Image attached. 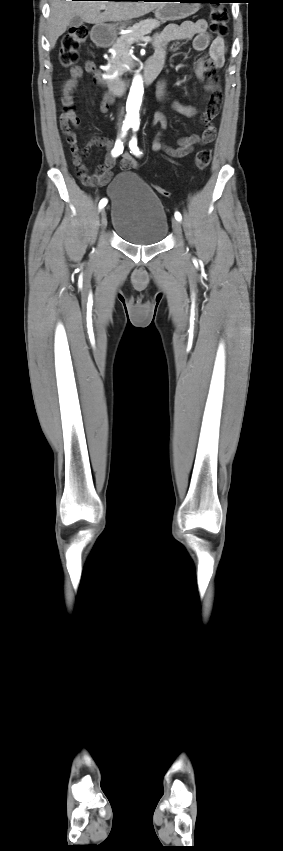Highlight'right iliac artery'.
I'll list each match as a JSON object with an SVG mask.
<instances>
[{
	"label": "right iliac artery",
	"mask_w": 283,
	"mask_h": 851,
	"mask_svg": "<svg viewBox=\"0 0 283 851\" xmlns=\"http://www.w3.org/2000/svg\"><path fill=\"white\" fill-rule=\"evenodd\" d=\"M129 127H130V125H129V124H124V125H123V127H122V131H123V132H122V137L126 134V131L129 129ZM123 150H124L123 142H121V140H120V139H118V140L116 141L115 146H114V148H113V150H112V152H111V153H112V155H113L114 157H117V156H119L120 154H122ZM106 204H107V199H106V198H103V199L99 202V208L101 209V208L105 207V206H106Z\"/></svg>",
	"instance_id": "1"
}]
</instances>
